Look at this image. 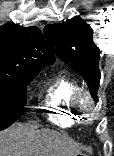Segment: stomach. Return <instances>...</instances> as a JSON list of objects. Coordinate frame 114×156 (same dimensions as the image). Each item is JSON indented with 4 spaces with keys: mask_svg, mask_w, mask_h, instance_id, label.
Instances as JSON below:
<instances>
[{
    "mask_svg": "<svg viewBox=\"0 0 114 156\" xmlns=\"http://www.w3.org/2000/svg\"><path fill=\"white\" fill-rule=\"evenodd\" d=\"M78 155H80V156H88V155H86V154H83V153H80V154H78Z\"/></svg>",
    "mask_w": 114,
    "mask_h": 156,
    "instance_id": "stomach-1",
    "label": "stomach"
}]
</instances>
